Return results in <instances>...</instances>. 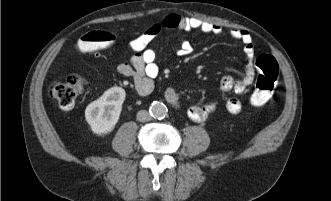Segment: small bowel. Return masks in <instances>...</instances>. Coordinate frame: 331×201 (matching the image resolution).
Returning <instances> with one entry per match:
<instances>
[{
    "label": "small bowel",
    "instance_id": "c3829d8e",
    "mask_svg": "<svg viewBox=\"0 0 331 201\" xmlns=\"http://www.w3.org/2000/svg\"><path fill=\"white\" fill-rule=\"evenodd\" d=\"M163 28L175 29L183 32L200 31L205 34L219 35L223 32L221 26L208 23L194 17H185L172 14L165 17L160 23H156L146 29L139 36L129 43V48L133 54L128 61L118 65L117 70L120 74L133 80L134 88L140 96L149 95L154 87V79L159 73V66L156 63L157 53L149 48L150 42L160 33ZM229 35L235 40L244 44L245 65L244 76L235 80L230 75H224L219 84L221 93L233 91L236 94H243L254 80V46L251 34L243 29H230ZM191 52V45L188 41H182L176 50L178 56H187ZM168 103L179 107V95L177 91L168 87L164 93ZM219 106L217 100L205 103H198L190 106L187 110L189 118L195 122L205 121ZM225 107L231 114L241 111L242 103L237 97H231L226 101Z\"/></svg>",
    "mask_w": 331,
    "mask_h": 201
}]
</instances>
